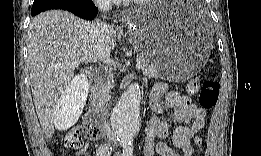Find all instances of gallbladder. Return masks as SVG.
<instances>
[{
    "mask_svg": "<svg viewBox=\"0 0 261 156\" xmlns=\"http://www.w3.org/2000/svg\"><path fill=\"white\" fill-rule=\"evenodd\" d=\"M88 76L85 73L75 75V78L70 80L65 92L61 94L59 103L55 104L56 110H53L54 127L59 130H67L73 127V124L79 120L84 106L87 102V96L90 90L88 85Z\"/></svg>",
    "mask_w": 261,
    "mask_h": 156,
    "instance_id": "obj_1",
    "label": "gallbladder"
}]
</instances>
